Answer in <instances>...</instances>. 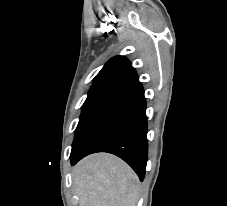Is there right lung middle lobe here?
<instances>
[{
    "instance_id": "1",
    "label": "right lung middle lobe",
    "mask_w": 227,
    "mask_h": 206,
    "mask_svg": "<svg viewBox=\"0 0 227 206\" xmlns=\"http://www.w3.org/2000/svg\"><path fill=\"white\" fill-rule=\"evenodd\" d=\"M130 84L124 82H103L93 84L87 99L82 105L79 123L75 130L72 152L78 147L83 138L95 124L99 116L117 99L129 90Z\"/></svg>"
}]
</instances>
